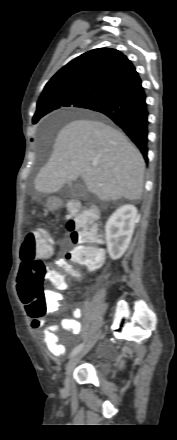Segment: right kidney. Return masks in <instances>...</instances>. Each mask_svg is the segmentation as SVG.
<instances>
[{
    "label": "right kidney",
    "instance_id": "ca27d5eb",
    "mask_svg": "<svg viewBox=\"0 0 177 440\" xmlns=\"http://www.w3.org/2000/svg\"><path fill=\"white\" fill-rule=\"evenodd\" d=\"M137 222V209L133 205H123L109 217L105 232L107 250L112 260L119 259L127 250Z\"/></svg>",
    "mask_w": 177,
    "mask_h": 440
}]
</instances>
